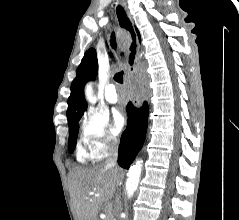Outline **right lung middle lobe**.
Instances as JSON below:
<instances>
[{
	"label": "right lung middle lobe",
	"mask_w": 239,
	"mask_h": 220,
	"mask_svg": "<svg viewBox=\"0 0 239 220\" xmlns=\"http://www.w3.org/2000/svg\"><path fill=\"white\" fill-rule=\"evenodd\" d=\"M81 116L75 120H73L69 124V142H68V149L70 152L74 150L76 147V141H77V136H78V122L80 120Z\"/></svg>",
	"instance_id": "right-lung-middle-lobe-1"
}]
</instances>
